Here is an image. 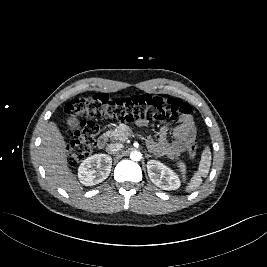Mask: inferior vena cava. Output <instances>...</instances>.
<instances>
[{
  "mask_svg": "<svg viewBox=\"0 0 267 267\" xmlns=\"http://www.w3.org/2000/svg\"><path fill=\"white\" fill-rule=\"evenodd\" d=\"M122 148H123V144L121 143H111L106 147V151L109 154H115L119 152L120 150H122Z\"/></svg>",
  "mask_w": 267,
  "mask_h": 267,
  "instance_id": "1",
  "label": "inferior vena cava"
}]
</instances>
